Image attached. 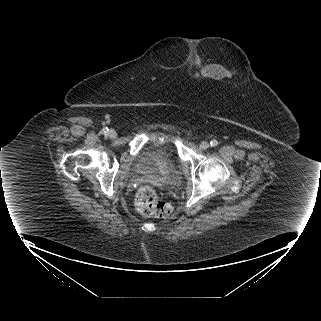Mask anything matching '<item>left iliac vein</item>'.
<instances>
[{
    "label": "left iliac vein",
    "instance_id": "4c4485c4",
    "mask_svg": "<svg viewBox=\"0 0 321 321\" xmlns=\"http://www.w3.org/2000/svg\"><path fill=\"white\" fill-rule=\"evenodd\" d=\"M210 147V144L207 141H203L200 143V149L206 150Z\"/></svg>",
    "mask_w": 321,
    "mask_h": 321
}]
</instances>
